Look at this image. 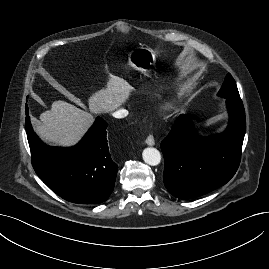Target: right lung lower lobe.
<instances>
[{"label": "right lung lower lobe", "mask_w": 269, "mask_h": 269, "mask_svg": "<svg viewBox=\"0 0 269 269\" xmlns=\"http://www.w3.org/2000/svg\"><path fill=\"white\" fill-rule=\"evenodd\" d=\"M26 113L32 165L40 179L69 202L97 204L106 201L114 189L118 170L108 149L107 123L98 117L76 146L50 147L35 134L28 109Z\"/></svg>", "instance_id": "right-lung-lower-lobe-1"}]
</instances>
